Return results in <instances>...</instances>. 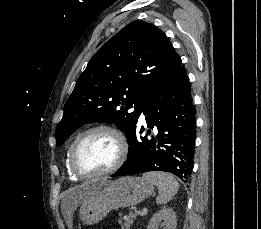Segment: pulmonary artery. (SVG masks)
<instances>
[{
	"label": "pulmonary artery",
	"instance_id": "pulmonary-artery-1",
	"mask_svg": "<svg viewBox=\"0 0 261 229\" xmlns=\"http://www.w3.org/2000/svg\"><path fill=\"white\" fill-rule=\"evenodd\" d=\"M142 104H143V108L145 107L144 105H148L149 104V101L148 100H143L142 101ZM144 114H147V111H145L146 109L144 108ZM143 113H141V115L139 116V119H138V122L140 124H145V115Z\"/></svg>",
	"mask_w": 261,
	"mask_h": 229
}]
</instances>
